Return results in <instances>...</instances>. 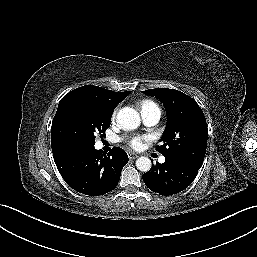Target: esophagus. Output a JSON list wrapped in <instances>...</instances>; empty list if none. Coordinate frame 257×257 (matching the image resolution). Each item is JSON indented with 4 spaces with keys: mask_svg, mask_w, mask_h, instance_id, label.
Masks as SVG:
<instances>
[{
    "mask_svg": "<svg viewBox=\"0 0 257 257\" xmlns=\"http://www.w3.org/2000/svg\"><path fill=\"white\" fill-rule=\"evenodd\" d=\"M128 157H129V159H136L139 157V155L136 153H133V152H129Z\"/></svg>",
    "mask_w": 257,
    "mask_h": 257,
    "instance_id": "esophagus-1",
    "label": "esophagus"
}]
</instances>
